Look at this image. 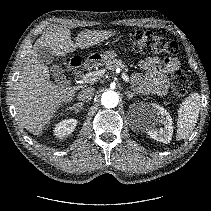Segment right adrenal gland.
Wrapping results in <instances>:
<instances>
[{
    "instance_id": "2a0ac1e0",
    "label": "right adrenal gland",
    "mask_w": 211,
    "mask_h": 211,
    "mask_svg": "<svg viewBox=\"0 0 211 211\" xmlns=\"http://www.w3.org/2000/svg\"><path fill=\"white\" fill-rule=\"evenodd\" d=\"M83 108V103H76L73 106H69L66 110H74V112L77 114L79 111H81Z\"/></svg>"
}]
</instances>
